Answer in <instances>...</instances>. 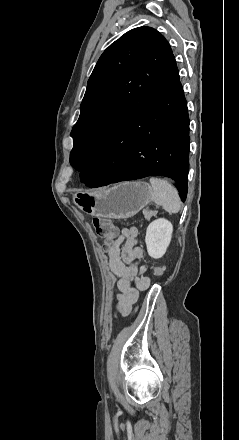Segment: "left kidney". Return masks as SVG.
<instances>
[{"label": "left kidney", "mask_w": 239, "mask_h": 440, "mask_svg": "<svg viewBox=\"0 0 239 440\" xmlns=\"http://www.w3.org/2000/svg\"><path fill=\"white\" fill-rule=\"evenodd\" d=\"M173 226L168 220L159 218L149 224L146 230L145 242L147 252L151 258H162L172 238Z\"/></svg>", "instance_id": "5707ae66"}]
</instances>
